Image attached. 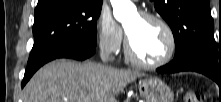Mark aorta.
<instances>
[{"instance_id":"aorta-1","label":"aorta","mask_w":221,"mask_h":102,"mask_svg":"<svg viewBox=\"0 0 221 102\" xmlns=\"http://www.w3.org/2000/svg\"><path fill=\"white\" fill-rule=\"evenodd\" d=\"M113 15L119 22H124L136 12L131 0H111Z\"/></svg>"}]
</instances>
